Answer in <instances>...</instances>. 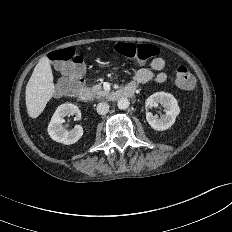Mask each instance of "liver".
I'll use <instances>...</instances> for the list:
<instances>
[{
  "mask_svg": "<svg viewBox=\"0 0 232 232\" xmlns=\"http://www.w3.org/2000/svg\"><path fill=\"white\" fill-rule=\"evenodd\" d=\"M55 92L49 59L42 57L27 83L25 101L28 115L37 118Z\"/></svg>",
  "mask_w": 232,
  "mask_h": 232,
  "instance_id": "liver-1",
  "label": "liver"
}]
</instances>
